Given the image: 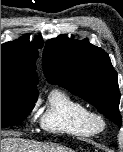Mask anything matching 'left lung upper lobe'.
I'll return each instance as SVG.
<instances>
[{"mask_svg": "<svg viewBox=\"0 0 123 152\" xmlns=\"http://www.w3.org/2000/svg\"><path fill=\"white\" fill-rule=\"evenodd\" d=\"M42 66L49 83L68 89L116 125L121 124L117 72L103 49L88 40L55 38L44 47Z\"/></svg>", "mask_w": 123, "mask_h": 152, "instance_id": "1", "label": "left lung upper lobe"}]
</instances>
